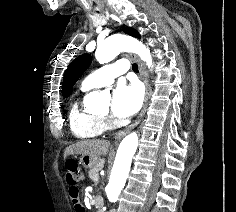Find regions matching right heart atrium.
Returning <instances> with one entry per match:
<instances>
[{"label":"right heart atrium","mask_w":236,"mask_h":212,"mask_svg":"<svg viewBox=\"0 0 236 212\" xmlns=\"http://www.w3.org/2000/svg\"><path fill=\"white\" fill-rule=\"evenodd\" d=\"M105 122H106V124L108 125L109 122H110V120H109L108 118H105Z\"/></svg>","instance_id":"1"}]
</instances>
